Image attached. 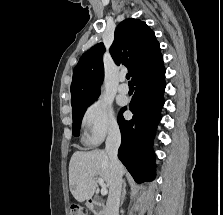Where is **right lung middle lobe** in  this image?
<instances>
[{"label": "right lung middle lobe", "mask_w": 223, "mask_h": 215, "mask_svg": "<svg viewBox=\"0 0 223 215\" xmlns=\"http://www.w3.org/2000/svg\"><path fill=\"white\" fill-rule=\"evenodd\" d=\"M92 103L93 102L82 104V105L72 108V114H73L72 134L75 137L79 136L83 114L86 111L87 107H89Z\"/></svg>", "instance_id": "1"}]
</instances>
